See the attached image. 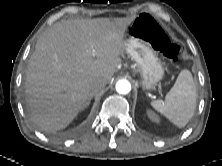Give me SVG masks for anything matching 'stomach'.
Segmentation results:
<instances>
[{
	"mask_svg": "<svg viewBox=\"0 0 222 166\" xmlns=\"http://www.w3.org/2000/svg\"><path fill=\"white\" fill-rule=\"evenodd\" d=\"M124 42V51L136 62L137 71L141 76V85L145 90L154 89L155 85L163 78L164 68L153 48L146 44L142 38H135L132 34Z\"/></svg>",
	"mask_w": 222,
	"mask_h": 166,
	"instance_id": "0dacf381",
	"label": "stomach"
}]
</instances>
